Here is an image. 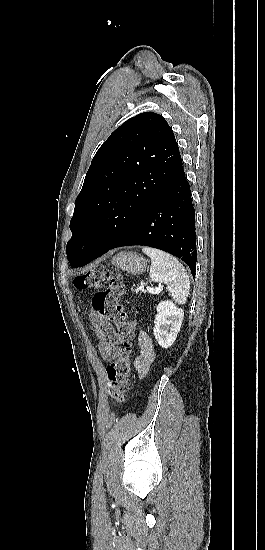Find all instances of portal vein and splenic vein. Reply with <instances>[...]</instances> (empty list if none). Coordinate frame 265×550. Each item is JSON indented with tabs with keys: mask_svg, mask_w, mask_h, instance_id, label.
Instances as JSON below:
<instances>
[{
	"mask_svg": "<svg viewBox=\"0 0 265 550\" xmlns=\"http://www.w3.org/2000/svg\"><path fill=\"white\" fill-rule=\"evenodd\" d=\"M147 290L151 293H156L159 291V289H153V288H150V287H147Z\"/></svg>",
	"mask_w": 265,
	"mask_h": 550,
	"instance_id": "obj_1",
	"label": "portal vein and splenic vein"
}]
</instances>
